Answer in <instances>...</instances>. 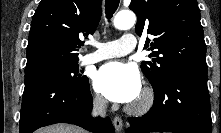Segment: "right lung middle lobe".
Returning a JSON list of instances; mask_svg holds the SVG:
<instances>
[{
    "instance_id": "right-lung-middle-lobe-1",
    "label": "right lung middle lobe",
    "mask_w": 221,
    "mask_h": 133,
    "mask_svg": "<svg viewBox=\"0 0 221 133\" xmlns=\"http://www.w3.org/2000/svg\"><path fill=\"white\" fill-rule=\"evenodd\" d=\"M37 72L55 73L73 85H79L88 80V77L78 73V62L50 65Z\"/></svg>"
}]
</instances>
